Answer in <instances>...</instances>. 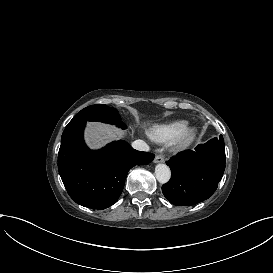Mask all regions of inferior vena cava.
I'll list each match as a JSON object with an SVG mask.
<instances>
[{"mask_svg":"<svg viewBox=\"0 0 273 273\" xmlns=\"http://www.w3.org/2000/svg\"><path fill=\"white\" fill-rule=\"evenodd\" d=\"M132 147L138 151H149V146L143 140L134 141Z\"/></svg>","mask_w":273,"mask_h":273,"instance_id":"602c4592","label":"inferior vena cava"}]
</instances>
